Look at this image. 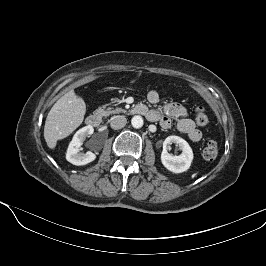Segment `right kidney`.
<instances>
[{"label":"right kidney","instance_id":"right-kidney-1","mask_svg":"<svg viewBox=\"0 0 266 266\" xmlns=\"http://www.w3.org/2000/svg\"><path fill=\"white\" fill-rule=\"evenodd\" d=\"M94 129L91 125L79 129L73 136L66 153V159L73 165H86L96 159V155L91 151L84 153L80 152V147L86 137L92 135Z\"/></svg>","mask_w":266,"mask_h":266}]
</instances>
